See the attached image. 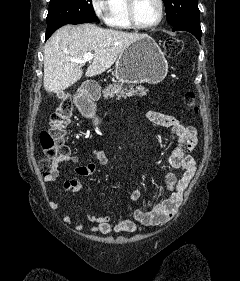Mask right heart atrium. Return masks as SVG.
<instances>
[{"label":"right heart atrium","instance_id":"d8ad5b80","mask_svg":"<svg viewBox=\"0 0 240 281\" xmlns=\"http://www.w3.org/2000/svg\"><path fill=\"white\" fill-rule=\"evenodd\" d=\"M90 5L98 18L106 20L109 11V0H90Z\"/></svg>","mask_w":240,"mask_h":281}]
</instances>
